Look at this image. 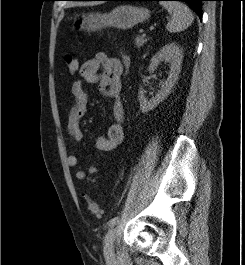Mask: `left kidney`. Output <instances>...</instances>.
<instances>
[{
    "label": "left kidney",
    "mask_w": 245,
    "mask_h": 265,
    "mask_svg": "<svg viewBox=\"0 0 245 265\" xmlns=\"http://www.w3.org/2000/svg\"><path fill=\"white\" fill-rule=\"evenodd\" d=\"M182 58L183 52L175 43H169L163 46L162 49H160V51L152 57L148 67L150 72L154 71V69H156L162 61L169 63L170 71L168 73V78L165 82H163L161 89L151 99L148 100L142 87L139 88L138 100L142 113H147L148 111L153 110L171 93V90L181 71Z\"/></svg>",
    "instance_id": "obj_1"
}]
</instances>
